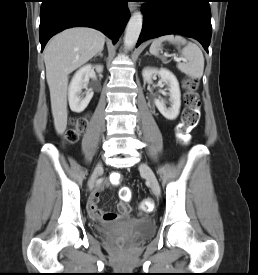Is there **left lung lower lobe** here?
<instances>
[{
  "label": "left lung lower lobe",
  "mask_w": 258,
  "mask_h": 275,
  "mask_svg": "<svg viewBox=\"0 0 258 275\" xmlns=\"http://www.w3.org/2000/svg\"><path fill=\"white\" fill-rule=\"evenodd\" d=\"M144 7L143 28L137 46L143 41L167 34H180L198 40L208 52L211 40L209 0H154Z\"/></svg>",
  "instance_id": "left-lung-lower-lobe-1"
}]
</instances>
